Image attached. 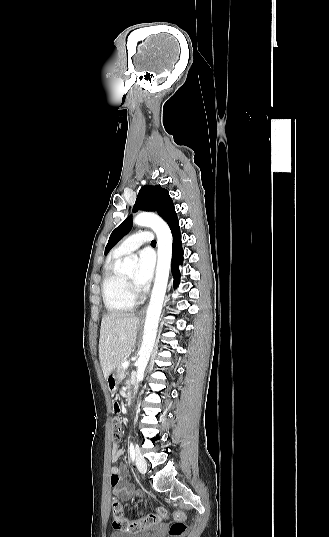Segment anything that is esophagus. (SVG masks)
<instances>
[{"label":"esophagus","instance_id":"34e87169","mask_svg":"<svg viewBox=\"0 0 329 537\" xmlns=\"http://www.w3.org/2000/svg\"><path fill=\"white\" fill-rule=\"evenodd\" d=\"M146 309H147V306H144V307L141 309V311H140L139 314H140L141 316L144 315L145 312H146Z\"/></svg>","mask_w":329,"mask_h":537}]
</instances>
